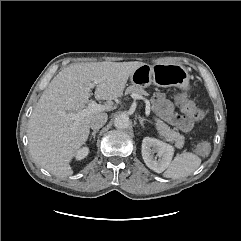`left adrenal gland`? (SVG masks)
Returning a JSON list of instances; mask_svg holds the SVG:
<instances>
[{
  "label": "left adrenal gland",
  "instance_id": "obj_1",
  "mask_svg": "<svg viewBox=\"0 0 241 241\" xmlns=\"http://www.w3.org/2000/svg\"><path fill=\"white\" fill-rule=\"evenodd\" d=\"M138 119H139V122H140L142 128H144V122L151 123V121H149V120H147V119H145V118H142V117H140V116H138Z\"/></svg>",
  "mask_w": 241,
  "mask_h": 241
}]
</instances>
